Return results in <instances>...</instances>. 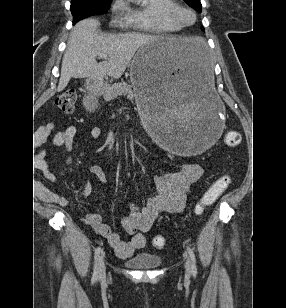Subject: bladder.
<instances>
[{
	"mask_svg": "<svg viewBox=\"0 0 286 308\" xmlns=\"http://www.w3.org/2000/svg\"><path fill=\"white\" fill-rule=\"evenodd\" d=\"M162 262L159 255L147 252H139L126 259L125 263L133 269H153L158 267Z\"/></svg>",
	"mask_w": 286,
	"mask_h": 308,
	"instance_id": "31cf9c89",
	"label": "bladder"
}]
</instances>
